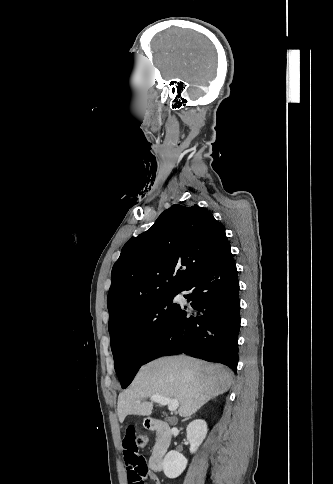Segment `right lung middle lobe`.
I'll use <instances>...</instances> for the list:
<instances>
[{
	"label": "right lung middle lobe",
	"instance_id": "right-lung-middle-lobe-1",
	"mask_svg": "<svg viewBox=\"0 0 333 484\" xmlns=\"http://www.w3.org/2000/svg\"><path fill=\"white\" fill-rule=\"evenodd\" d=\"M179 292L152 299L108 326L114 367L122 388L131 383L148 351L170 324L179 307L173 303Z\"/></svg>",
	"mask_w": 333,
	"mask_h": 484
}]
</instances>
